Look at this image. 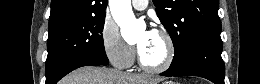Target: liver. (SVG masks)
Listing matches in <instances>:
<instances>
[{
	"label": "liver",
	"instance_id": "obj_1",
	"mask_svg": "<svg viewBox=\"0 0 260 84\" xmlns=\"http://www.w3.org/2000/svg\"><path fill=\"white\" fill-rule=\"evenodd\" d=\"M61 82L62 84H157L158 80L148 75L86 66L71 72Z\"/></svg>",
	"mask_w": 260,
	"mask_h": 84
}]
</instances>
